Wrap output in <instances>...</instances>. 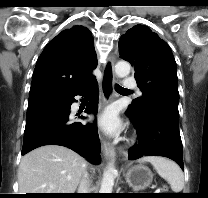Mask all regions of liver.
Here are the masks:
<instances>
[{
    "label": "liver",
    "mask_w": 208,
    "mask_h": 198,
    "mask_svg": "<svg viewBox=\"0 0 208 198\" xmlns=\"http://www.w3.org/2000/svg\"><path fill=\"white\" fill-rule=\"evenodd\" d=\"M86 160L59 145H45L26 154L20 162V194L74 193L86 169Z\"/></svg>",
    "instance_id": "liver-1"
}]
</instances>
